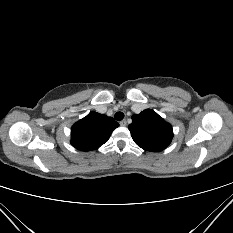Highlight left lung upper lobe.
Segmentation results:
<instances>
[{
    "instance_id": "obj_1",
    "label": "left lung upper lobe",
    "mask_w": 233,
    "mask_h": 233,
    "mask_svg": "<svg viewBox=\"0 0 233 233\" xmlns=\"http://www.w3.org/2000/svg\"><path fill=\"white\" fill-rule=\"evenodd\" d=\"M133 122L128 126L134 142L147 151L164 150L173 138L171 124L151 109L132 116Z\"/></svg>"
}]
</instances>
